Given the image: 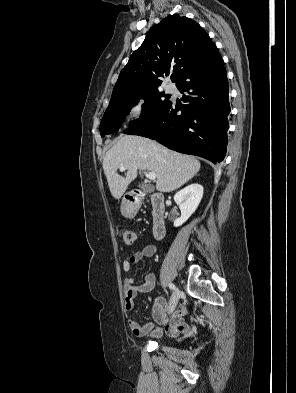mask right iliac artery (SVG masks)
Wrapping results in <instances>:
<instances>
[{
  "instance_id": "right-iliac-artery-1",
  "label": "right iliac artery",
  "mask_w": 296,
  "mask_h": 393,
  "mask_svg": "<svg viewBox=\"0 0 296 393\" xmlns=\"http://www.w3.org/2000/svg\"><path fill=\"white\" fill-rule=\"evenodd\" d=\"M168 286L171 290H175V285L173 283H169Z\"/></svg>"
}]
</instances>
